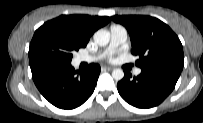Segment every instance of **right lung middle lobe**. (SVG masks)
<instances>
[{"mask_svg":"<svg viewBox=\"0 0 203 123\" xmlns=\"http://www.w3.org/2000/svg\"><path fill=\"white\" fill-rule=\"evenodd\" d=\"M81 47V44L66 29L44 23L35 31L30 43V65L40 61L70 64L72 53Z\"/></svg>","mask_w":203,"mask_h":123,"instance_id":"obj_1","label":"right lung middle lobe"}]
</instances>
